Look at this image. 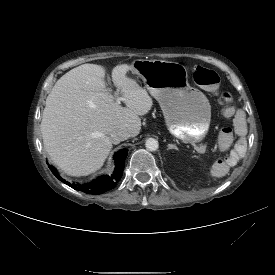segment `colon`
I'll return each mask as SVG.
<instances>
[{"label": "colon", "instance_id": "1", "mask_svg": "<svg viewBox=\"0 0 275 275\" xmlns=\"http://www.w3.org/2000/svg\"><path fill=\"white\" fill-rule=\"evenodd\" d=\"M193 79L194 81L206 89L217 92L220 86L221 79L219 75L210 69L197 66L193 70ZM221 102L229 106L231 104L232 98L229 92L223 91L219 94ZM246 148V139L243 136H239L236 140L234 150L242 156Z\"/></svg>", "mask_w": 275, "mask_h": 275}]
</instances>
